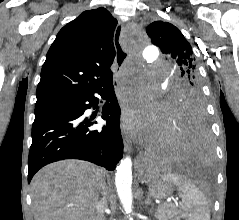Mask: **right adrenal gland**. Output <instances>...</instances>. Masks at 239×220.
<instances>
[{
    "mask_svg": "<svg viewBox=\"0 0 239 220\" xmlns=\"http://www.w3.org/2000/svg\"><path fill=\"white\" fill-rule=\"evenodd\" d=\"M107 192V186L104 185L103 188H102V194L105 195ZM105 197V196H104Z\"/></svg>",
    "mask_w": 239,
    "mask_h": 220,
    "instance_id": "2a0ac1e0",
    "label": "right adrenal gland"
}]
</instances>
